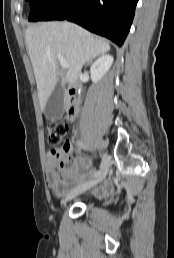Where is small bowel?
<instances>
[{
  "mask_svg": "<svg viewBox=\"0 0 174 258\" xmlns=\"http://www.w3.org/2000/svg\"><path fill=\"white\" fill-rule=\"evenodd\" d=\"M67 144L69 146V151H71V144ZM55 168L56 164L54 160L50 159L47 168L48 183L52 193L57 197L66 194L71 184L80 182L87 176L95 174L90 163L82 157L75 159L74 171L63 178L60 177ZM102 190L103 188L100 189V191Z\"/></svg>",
  "mask_w": 174,
  "mask_h": 258,
  "instance_id": "obj_1",
  "label": "small bowel"
}]
</instances>
